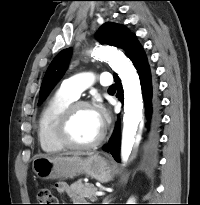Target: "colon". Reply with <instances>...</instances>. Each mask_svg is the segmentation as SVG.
Segmentation results:
<instances>
[{
	"label": "colon",
	"mask_w": 200,
	"mask_h": 205,
	"mask_svg": "<svg viewBox=\"0 0 200 205\" xmlns=\"http://www.w3.org/2000/svg\"><path fill=\"white\" fill-rule=\"evenodd\" d=\"M38 205H56V198L48 188H40L37 191Z\"/></svg>",
	"instance_id": "5ec220e1"
}]
</instances>
